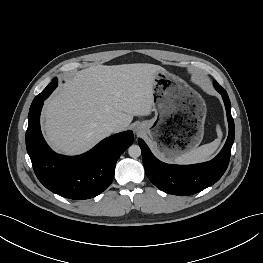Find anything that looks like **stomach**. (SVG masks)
<instances>
[{
	"instance_id": "obj_1",
	"label": "stomach",
	"mask_w": 263,
	"mask_h": 263,
	"mask_svg": "<svg viewBox=\"0 0 263 263\" xmlns=\"http://www.w3.org/2000/svg\"><path fill=\"white\" fill-rule=\"evenodd\" d=\"M155 117L141 123L164 160L196 149L204 135L206 104L183 79L165 69L154 74Z\"/></svg>"
}]
</instances>
